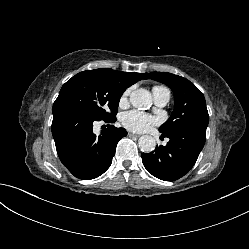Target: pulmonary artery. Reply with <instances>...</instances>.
I'll return each instance as SVG.
<instances>
[{
	"mask_svg": "<svg viewBox=\"0 0 249 249\" xmlns=\"http://www.w3.org/2000/svg\"><path fill=\"white\" fill-rule=\"evenodd\" d=\"M154 102L158 107H164L170 101V92L166 89L153 90Z\"/></svg>",
	"mask_w": 249,
	"mask_h": 249,
	"instance_id": "obj_1",
	"label": "pulmonary artery"
}]
</instances>
